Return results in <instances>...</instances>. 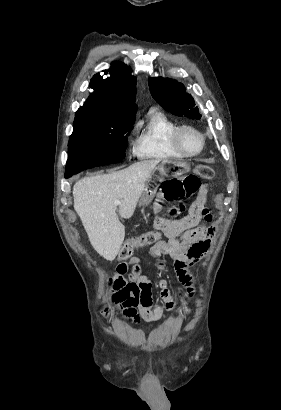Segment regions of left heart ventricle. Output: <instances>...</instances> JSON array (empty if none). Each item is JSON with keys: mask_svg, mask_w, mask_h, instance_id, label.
<instances>
[{"mask_svg": "<svg viewBox=\"0 0 281 410\" xmlns=\"http://www.w3.org/2000/svg\"><path fill=\"white\" fill-rule=\"evenodd\" d=\"M183 144L189 151H196L200 148L201 140L198 134L192 131H187L183 134Z\"/></svg>", "mask_w": 281, "mask_h": 410, "instance_id": "obj_1", "label": "left heart ventricle"}]
</instances>
